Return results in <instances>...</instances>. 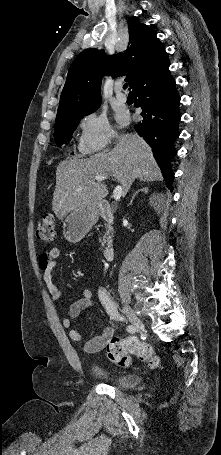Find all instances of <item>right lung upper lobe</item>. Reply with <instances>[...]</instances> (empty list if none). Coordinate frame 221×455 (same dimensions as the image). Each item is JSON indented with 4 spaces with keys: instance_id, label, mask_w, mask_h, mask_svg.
Instances as JSON below:
<instances>
[{
    "instance_id": "obj_1",
    "label": "right lung upper lobe",
    "mask_w": 221,
    "mask_h": 455,
    "mask_svg": "<svg viewBox=\"0 0 221 455\" xmlns=\"http://www.w3.org/2000/svg\"><path fill=\"white\" fill-rule=\"evenodd\" d=\"M129 47L106 56L103 50L86 49L72 63L64 85L56 119L86 111L101 103L100 85L105 74L113 78L127 75L133 89L136 81L165 50L156 31L147 25L131 21Z\"/></svg>"
}]
</instances>
